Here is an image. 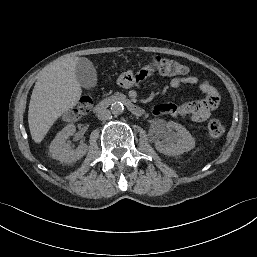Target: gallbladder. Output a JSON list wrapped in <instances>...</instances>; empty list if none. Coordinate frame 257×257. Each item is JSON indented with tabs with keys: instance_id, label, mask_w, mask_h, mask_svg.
I'll list each match as a JSON object with an SVG mask.
<instances>
[{
	"instance_id": "1",
	"label": "gallbladder",
	"mask_w": 257,
	"mask_h": 257,
	"mask_svg": "<svg viewBox=\"0 0 257 257\" xmlns=\"http://www.w3.org/2000/svg\"><path fill=\"white\" fill-rule=\"evenodd\" d=\"M76 78L79 84L86 89L95 87L97 84L96 70L90 60L80 58L76 65Z\"/></svg>"
}]
</instances>
